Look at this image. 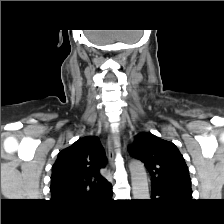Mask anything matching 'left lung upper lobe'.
Masks as SVG:
<instances>
[{
	"mask_svg": "<svg viewBox=\"0 0 224 224\" xmlns=\"http://www.w3.org/2000/svg\"><path fill=\"white\" fill-rule=\"evenodd\" d=\"M130 155L141 160L162 191L192 194L188 167L177 147L151 133H140L129 147Z\"/></svg>",
	"mask_w": 224,
	"mask_h": 224,
	"instance_id": "obj_1",
	"label": "left lung upper lobe"
}]
</instances>
